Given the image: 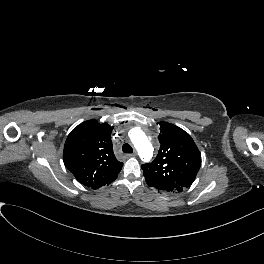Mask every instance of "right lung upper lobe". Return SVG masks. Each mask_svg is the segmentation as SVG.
<instances>
[{"instance_id":"right-lung-upper-lobe-1","label":"right lung upper lobe","mask_w":264,"mask_h":264,"mask_svg":"<svg viewBox=\"0 0 264 264\" xmlns=\"http://www.w3.org/2000/svg\"><path fill=\"white\" fill-rule=\"evenodd\" d=\"M112 130L108 123L88 120L68 135L63 151L64 164L84 186L97 189L117 178L123 163L113 153Z\"/></svg>"}]
</instances>
